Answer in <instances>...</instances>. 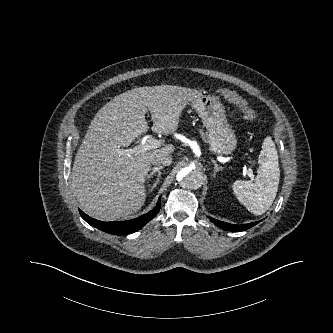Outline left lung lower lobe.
<instances>
[{
  "mask_svg": "<svg viewBox=\"0 0 333 333\" xmlns=\"http://www.w3.org/2000/svg\"><path fill=\"white\" fill-rule=\"evenodd\" d=\"M210 220L217 226H219L220 228H223L225 230L228 231H232V232H237V231H243L246 229H249L251 227H253L254 225H256L258 222H253V223H249V224H243V225H234V224H230V223H225L223 221H219L213 218H210Z\"/></svg>",
  "mask_w": 333,
  "mask_h": 333,
  "instance_id": "0a47b994",
  "label": "left lung lower lobe"
}]
</instances>
